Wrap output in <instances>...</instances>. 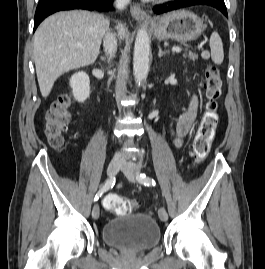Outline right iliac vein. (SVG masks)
Here are the masks:
<instances>
[{"label": "right iliac vein", "instance_id": "obj_1", "mask_svg": "<svg viewBox=\"0 0 265 269\" xmlns=\"http://www.w3.org/2000/svg\"><path fill=\"white\" fill-rule=\"evenodd\" d=\"M120 167H121L120 160H117V159L112 160L109 163L108 168H107L108 176H110V177L115 176L117 174V172L119 171ZM99 214H100L99 206H98V204H95L93 206V209H92V217H93V219H98Z\"/></svg>", "mask_w": 265, "mask_h": 269}]
</instances>
